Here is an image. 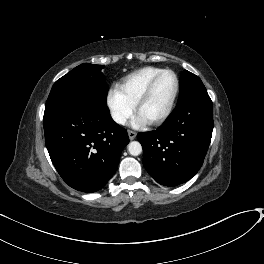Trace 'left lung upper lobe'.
I'll list each match as a JSON object with an SVG mask.
<instances>
[{"label": "left lung upper lobe", "instance_id": "5c2ea615", "mask_svg": "<svg viewBox=\"0 0 264 264\" xmlns=\"http://www.w3.org/2000/svg\"><path fill=\"white\" fill-rule=\"evenodd\" d=\"M207 93V90L198 76L185 70L180 78V95L178 102L188 96Z\"/></svg>", "mask_w": 264, "mask_h": 264}]
</instances>
